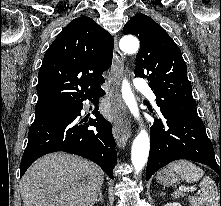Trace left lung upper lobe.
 <instances>
[{
  "label": "left lung upper lobe",
  "mask_w": 221,
  "mask_h": 206,
  "mask_svg": "<svg viewBox=\"0 0 221 206\" xmlns=\"http://www.w3.org/2000/svg\"><path fill=\"white\" fill-rule=\"evenodd\" d=\"M123 33L136 35L140 40L135 75L148 79L161 110L198 115L187 66L167 32L150 17L138 14L126 23Z\"/></svg>",
  "instance_id": "5c2ea615"
}]
</instances>
